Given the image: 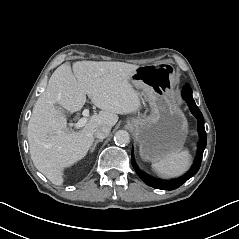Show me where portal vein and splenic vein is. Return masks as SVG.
<instances>
[{
	"instance_id": "18ae733b",
	"label": "portal vein and splenic vein",
	"mask_w": 239,
	"mask_h": 239,
	"mask_svg": "<svg viewBox=\"0 0 239 239\" xmlns=\"http://www.w3.org/2000/svg\"><path fill=\"white\" fill-rule=\"evenodd\" d=\"M82 114H83V116H88L89 115V108H84ZM85 124H86V119L82 118L74 124L73 130H78V129L82 128Z\"/></svg>"
}]
</instances>
